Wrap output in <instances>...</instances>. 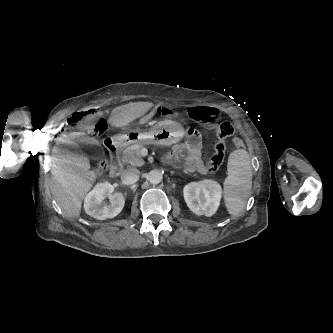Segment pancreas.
Here are the masks:
<instances>
[{"label": "pancreas", "instance_id": "1", "mask_svg": "<svg viewBox=\"0 0 333 333\" xmlns=\"http://www.w3.org/2000/svg\"><path fill=\"white\" fill-rule=\"evenodd\" d=\"M145 144L137 143L127 147L122 156L124 162L130 163L133 166H142L144 164L141 151Z\"/></svg>", "mask_w": 333, "mask_h": 333}]
</instances>
